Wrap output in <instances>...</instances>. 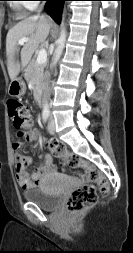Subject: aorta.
Listing matches in <instances>:
<instances>
[{"label":"aorta","mask_w":133,"mask_h":253,"mask_svg":"<svg viewBox=\"0 0 133 253\" xmlns=\"http://www.w3.org/2000/svg\"><path fill=\"white\" fill-rule=\"evenodd\" d=\"M66 37H67V33H66V29L64 27V23L62 21L60 36L57 40V47L55 49V52H54V55L52 58L51 68H54L56 66L57 62L59 61V59L63 53L64 47H65V42H66ZM43 112L49 113V104L47 101H45V103H44Z\"/></svg>","instance_id":"obj_1"}]
</instances>
